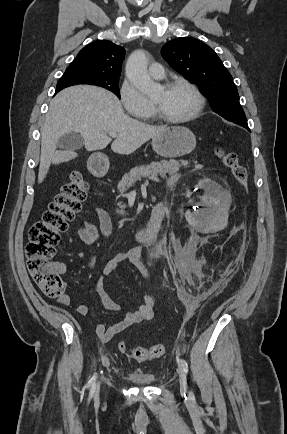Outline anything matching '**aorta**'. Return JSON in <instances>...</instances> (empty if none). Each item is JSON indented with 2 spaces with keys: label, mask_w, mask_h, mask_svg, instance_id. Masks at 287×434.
<instances>
[{
  "label": "aorta",
  "mask_w": 287,
  "mask_h": 434,
  "mask_svg": "<svg viewBox=\"0 0 287 434\" xmlns=\"http://www.w3.org/2000/svg\"><path fill=\"white\" fill-rule=\"evenodd\" d=\"M147 58L143 50L134 51L126 63V76L142 92L151 93L156 84L151 80L147 71Z\"/></svg>",
  "instance_id": "obj_1"
}]
</instances>
